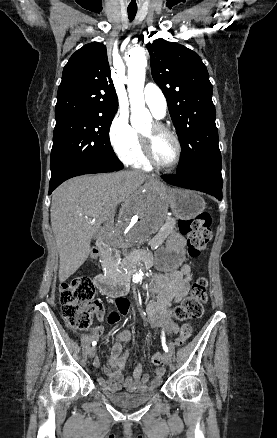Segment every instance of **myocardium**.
<instances>
[{"label":"myocardium","instance_id":"obj_1","mask_svg":"<svg viewBox=\"0 0 277 438\" xmlns=\"http://www.w3.org/2000/svg\"><path fill=\"white\" fill-rule=\"evenodd\" d=\"M152 126H153V130L155 133L166 134L174 140V142L176 144V156H175L174 161L171 164L161 163L155 155L153 135H146V134L141 133L140 134V141H141L143 152H144L146 159L150 162V164H152L153 166L160 168V169L169 170V169L176 167L179 164L181 156H182V144H181L179 136L176 134L175 131L171 130L170 128H168L167 126H165L161 122L153 121Z\"/></svg>","mask_w":277,"mask_h":438}]
</instances>
